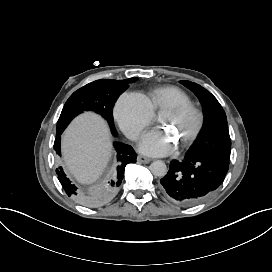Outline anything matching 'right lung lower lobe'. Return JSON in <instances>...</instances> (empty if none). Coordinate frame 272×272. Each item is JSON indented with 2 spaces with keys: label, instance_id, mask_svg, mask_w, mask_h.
I'll return each mask as SVG.
<instances>
[{
  "label": "right lung lower lobe",
  "instance_id": "98d812e1",
  "mask_svg": "<svg viewBox=\"0 0 272 272\" xmlns=\"http://www.w3.org/2000/svg\"><path fill=\"white\" fill-rule=\"evenodd\" d=\"M62 132H56L54 142V149L59 156H61L60 135ZM114 147L117 152V166L112 169L110 176L92 191L83 190L79 192L77 186L66 177L62 167L56 169L58 179L68 196L75 197L83 205L92 208L104 206L113 199L121 188L125 167L130 163L136 162L137 158L133 148L129 145L116 142Z\"/></svg>",
  "mask_w": 272,
  "mask_h": 272
}]
</instances>
